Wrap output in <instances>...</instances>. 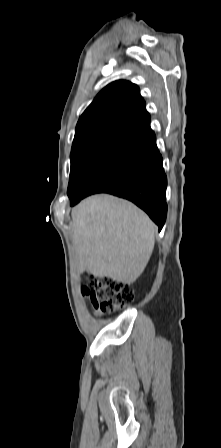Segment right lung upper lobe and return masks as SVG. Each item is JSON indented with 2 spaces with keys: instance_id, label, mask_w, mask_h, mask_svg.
<instances>
[{
  "instance_id": "right-lung-upper-lobe-1",
  "label": "right lung upper lobe",
  "mask_w": 221,
  "mask_h": 448,
  "mask_svg": "<svg viewBox=\"0 0 221 448\" xmlns=\"http://www.w3.org/2000/svg\"><path fill=\"white\" fill-rule=\"evenodd\" d=\"M150 124L137 85L115 81L107 85L80 117L72 150L92 144L117 145Z\"/></svg>"
}]
</instances>
